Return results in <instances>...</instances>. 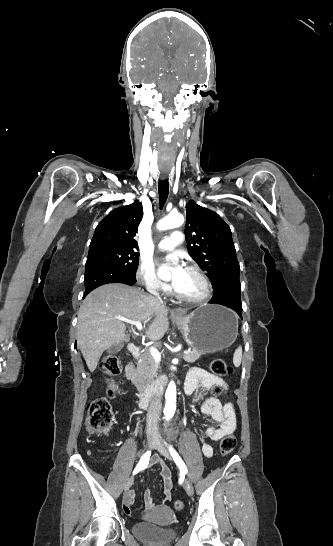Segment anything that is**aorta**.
<instances>
[{
  "instance_id": "762f6f07",
  "label": "aorta",
  "mask_w": 333,
  "mask_h": 546,
  "mask_svg": "<svg viewBox=\"0 0 333 546\" xmlns=\"http://www.w3.org/2000/svg\"><path fill=\"white\" fill-rule=\"evenodd\" d=\"M184 224V216L180 213H170L157 224V228L161 231L168 230L172 228L180 227ZM158 276L162 278H170V273L167 271L166 267H160L158 270ZM165 408L164 415L166 420H170L176 410V384L174 381H171L168 385L165 394Z\"/></svg>"
}]
</instances>
